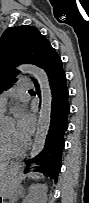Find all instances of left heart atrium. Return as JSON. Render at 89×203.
I'll return each mask as SVG.
<instances>
[{"label":"left heart atrium","mask_w":89,"mask_h":203,"mask_svg":"<svg viewBox=\"0 0 89 203\" xmlns=\"http://www.w3.org/2000/svg\"><path fill=\"white\" fill-rule=\"evenodd\" d=\"M16 133L24 141H27L34 129V119L25 110H19L15 115Z\"/></svg>","instance_id":"obj_1"}]
</instances>
